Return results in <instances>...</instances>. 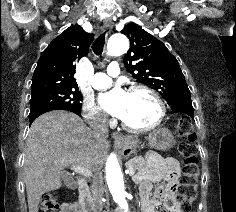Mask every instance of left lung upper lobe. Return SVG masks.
Wrapping results in <instances>:
<instances>
[{
	"mask_svg": "<svg viewBox=\"0 0 236 212\" xmlns=\"http://www.w3.org/2000/svg\"><path fill=\"white\" fill-rule=\"evenodd\" d=\"M121 33L130 40L124 64L135 79L158 91L168 103L190 95L176 57L160 40L135 24H128Z\"/></svg>",
	"mask_w": 236,
	"mask_h": 212,
	"instance_id": "obj_1",
	"label": "left lung upper lobe"
}]
</instances>
